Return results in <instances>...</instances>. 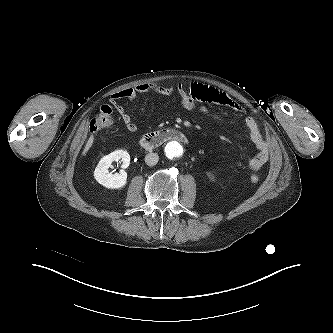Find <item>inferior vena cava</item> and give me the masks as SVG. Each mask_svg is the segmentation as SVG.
Listing matches in <instances>:
<instances>
[{
  "mask_svg": "<svg viewBox=\"0 0 333 333\" xmlns=\"http://www.w3.org/2000/svg\"><path fill=\"white\" fill-rule=\"evenodd\" d=\"M159 161V156L156 153H149L145 156V163L148 166H154Z\"/></svg>",
  "mask_w": 333,
  "mask_h": 333,
  "instance_id": "inferior-vena-cava-1",
  "label": "inferior vena cava"
}]
</instances>
